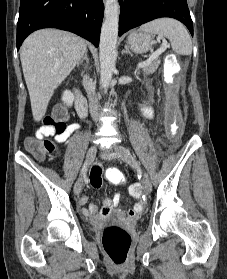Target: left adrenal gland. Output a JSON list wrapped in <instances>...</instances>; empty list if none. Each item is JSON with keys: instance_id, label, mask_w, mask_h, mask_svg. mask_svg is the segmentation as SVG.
Here are the masks:
<instances>
[{"instance_id": "1", "label": "left adrenal gland", "mask_w": 227, "mask_h": 279, "mask_svg": "<svg viewBox=\"0 0 227 279\" xmlns=\"http://www.w3.org/2000/svg\"><path fill=\"white\" fill-rule=\"evenodd\" d=\"M124 53H128V54L132 55V53L129 51L128 46H125V49L122 51V54H124Z\"/></svg>"}]
</instances>
